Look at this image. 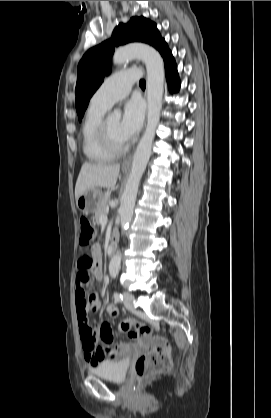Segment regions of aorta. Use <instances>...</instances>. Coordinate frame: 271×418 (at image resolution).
<instances>
[{
    "instance_id": "obj_1",
    "label": "aorta",
    "mask_w": 271,
    "mask_h": 418,
    "mask_svg": "<svg viewBox=\"0 0 271 418\" xmlns=\"http://www.w3.org/2000/svg\"><path fill=\"white\" fill-rule=\"evenodd\" d=\"M132 58H139L146 65L148 112L146 129L133 156L131 172L124 189L122 203L119 209L122 233L125 232L131 221L139 183L151 156L155 131L160 120L164 92V63L159 52L148 45L131 44L117 49L112 60L114 64L119 65ZM111 118L120 120L121 111L118 109L114 110ZM120 263L121 252L118 250L109 264L110 275L113 276L118 273Z\"/></svg>"
}]
</instances>
